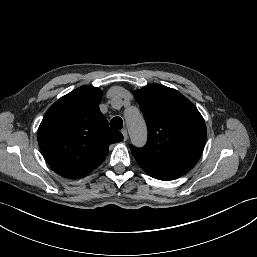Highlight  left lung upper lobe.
Here are the masks:
<instances>
[{
  "mask_svg": "<svg viewBox=\"0 0 257 257\" xmlns=\"http://www.w3.org/2000/svg\"><path fill=\"white\" fill-rule=\"evenodd\" d=\"M148 127L143 148L130 146L141 166L187 169L195 166L206 142V126L197 108L175 89L154 84L134 91Z\"/></svg>",
  "mask_w": 257,
  "mask_h": 257,
  "instance_id": "left-lung-upper-lobe-1",
  "label": "left lung upper lobe"
}]
</instances>
